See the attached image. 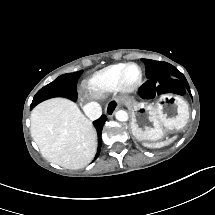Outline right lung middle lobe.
I'll list each match as a JSON object with an SVG mask.
<instances>
[{"label":"right lung middle lobe","instance_id":"right-lung-middle-lobe-1","mask_svg":"<svg viewBox=\"0 0 215 215\" xmlns=\"http://www.w3.org/2000/svg\"><path fill=\"white\" fill-rule=\"evenodd\" d=\"M81 74L82 71L61 75L40 89L33 98L31 109L40 102L55 96H63L75 101L77 99L76 84Z\"/></svg>","mask_w":215,"mask_h":215}]
</instances>
